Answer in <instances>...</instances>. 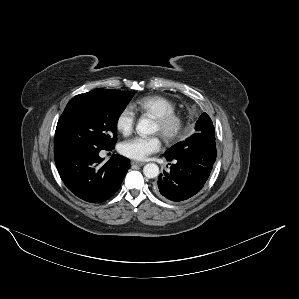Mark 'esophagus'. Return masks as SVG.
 Here are the masks:
<instances>
[{
	"instance_id": "34e87169",
	"label": "esophagus",
	"mask_w": 299,
	"mask_h": 299,
	"mask_svg": "<svg viewBox=\"0 0 299 299\" xmlns=\"http://www.w3.org/2000/svg\"><path fill=\"white\" fill-rule=\"evenodd\" d=\"M144 164H145L144 162L131 161V165L143 166Z\"/></svg>"
}]
</instances>
